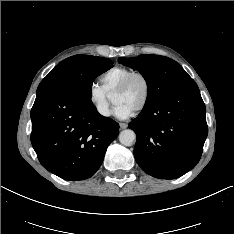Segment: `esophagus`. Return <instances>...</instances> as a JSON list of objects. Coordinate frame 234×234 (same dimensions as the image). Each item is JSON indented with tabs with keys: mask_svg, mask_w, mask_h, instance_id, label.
<instances>
[{
	"mask_svg": "<svg viewBox=\"0 0 234 234\" xmlns=\"http://www.w3.org/2000/svg\"><path fill=\"white\" fill-rule=\"evenodd\" d=\"M127 123H120V128L121 129H126L127 128Z\"/></svg>",
	"mask_w": 234,
	"mask_h": 234,
	"instance_id": "34e87169",
	"label": "esophagus"
}]
</instances>
